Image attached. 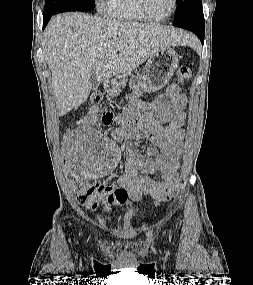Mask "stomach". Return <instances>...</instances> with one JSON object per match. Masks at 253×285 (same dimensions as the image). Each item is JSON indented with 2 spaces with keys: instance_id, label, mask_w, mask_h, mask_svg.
Listing matches in <instances>:
<instances>
[{
  "instance_id": "obj_1",
  "label": "stomach",
  "mask_w": 253,
  "mask_h": 285,
  "mask_svg": "<svg viewBox=\"0 0 253 285\" xmlns=\"http://www.w3.org/2000/svg\"><path fill=\"white\" fill-rule=\"evenodd\" d=\"M179 58V55L170 47L158 50L149 58L143 72L130 79V88L144 87L150 92L163 88L177 69ZM120 91L116 83H110L107 86V92L112 96L119 95Z\"/></svg>"
}]
</instances>
